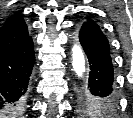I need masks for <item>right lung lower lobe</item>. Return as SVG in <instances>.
<instances>
[{
  "mask_svg": "<svg viewBox=\"0 0 133 118\" xmlns=\"http://www.w3.org/2000/svg\"><path fill=\"white\" fill-rule=\"evenodd\" d=\"M35 63L32 38L0 54V118L22 114Z\"/></svg>",
  "mask_w": 133,
  "mask_h": 118,
  "instance_id": "1",
  "label": "right lung lower lobe"
}]
</instances>
